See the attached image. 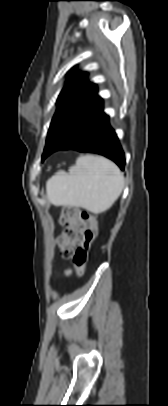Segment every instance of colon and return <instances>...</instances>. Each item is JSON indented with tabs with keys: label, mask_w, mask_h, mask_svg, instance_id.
<instances>
[{
	"label": "colon",
	"mask_w": 168,
	"mask_h": 406,
	"mask_svg": "<svg viewBox=\"0 0 168 406\" xmlns=\"http://www.w3.org/2000/svg\"><path fill=\"white\" fill-rule=\"evenodd\" d=\"M59 222L65 227L59 238L62 256L71 259L77 276L82 277L89 248L97 236V217L90 211L65 207Z\"/></svg>",
	"instance_id": "obj_1"
}]
</instances>
